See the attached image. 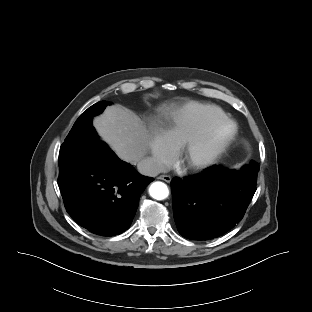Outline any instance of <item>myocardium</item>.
<instances>
[{
    "label": "myocardium",
    "instance_id": "f54148a6",
    "mask_svg": "<svg viewBox=\"0 0 312 312\" xmlns=\"http://www.w3.org/2000/svg\"><path fill=\"white\" fill-rule=\"evenodd\" d=\"M238 132L237 124L225 118L204 129L196 136L184 142L180 147L179 159L191 171H200L211 166L228 148ZM200 147L205 152L197 159H191Z\"/></svg>",
    "mask_w": 312,
    "mask_h": 312
}]
</instances>
